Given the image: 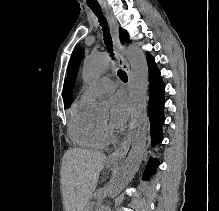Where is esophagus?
Masks as SVG:
<instances>
[{"mask_svg":"<svg viewBox=\"0 0 219 211\" xmlns=\"http://www.w3.org/2000/svg\"><path fill=\"white\" fill-rule=\"evenodd\" d=\"M102 8L104 9V11L106 13V16H107V19H108V22L110 25V30H111V34H112V38H113V47H114V51H115L118 65L128 75V88H129V90H131V70H130L129 63L124 56V47L120 41L117 20L110 13V11L106 5H102ZM132 131H133V125L131 123H129L128 131H127L125 139L123 140V142L119 146H117L114 149L113 153H111L108 156L109 163L119 165L125 159L128 151H129L130 145H131Z\"/></svg>","mask_w":219,"mask_h":211,"instance_id":"34e87169","label":"esophagus"}]
</instances>
